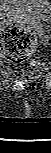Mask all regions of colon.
I'll return each instance as SVG.
<instances>
[{"label": "colon", "instance_id": "5ec220e1", "mask_svg": "<svg viewBox=\"0 0 51 153\" xmlns=\"http://www.w3.org/2000/svg\"><path fill=\"white\" fill-rule=\"evenodd\" d=\"M36 46V35L18 22H9L2 31L3 56L14 63L27 60Z\"/></svg>", "mask_w": 51, "mask_h": 153}]
</instances>
